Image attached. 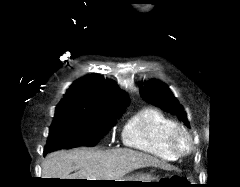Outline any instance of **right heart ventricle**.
Instances as JSON below:
<instances>
[{
	"label": "right heart ventricle",
	"mask_w": 240,
	"mask_h": 187,
	"mask_svg": "<svg viewBox=\"0 0 240 187\" xmlns=\"http://www.w3.org/2000/svg\"><path fill=\"white\" fill-rule=\"evenodd\" d=\"M177 127L178 124L162 111L144 108L125 124L122 141L127 147L161 160L175 161L179 156L170 146V134Z\"/></svg>",
	"instance_id": "1"
}]
</instances>
